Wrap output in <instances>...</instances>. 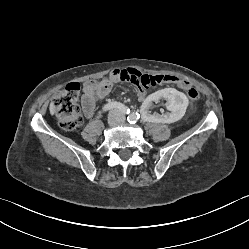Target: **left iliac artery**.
<instances>
[{
	"label": "left iliac artery",
	"mask_w": 249,
	"mask_h": 249,
	"mask_svg": "<svg viewBox=\"0 0 249 249\" xmlns=\"http://www.w3.org/2000/svg\"><path fill=\"white\" fill-rule=\"evenodd\" d=\"M139 117L140 115L138 113H132L128 116L127 120L130 124H135Z\"/></svg>",
	"instance_id": "obj_1"
}]
</instances>
